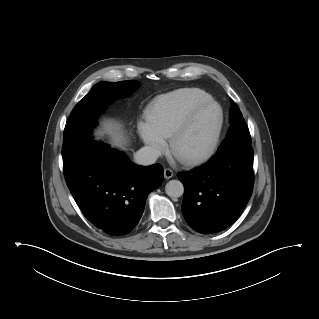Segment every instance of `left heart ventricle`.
I'll list each match as a JSON object with an SVG mask.
<instances>
[{
  "mask_svg": "<svg viewBox=\"0 0 319 319\" xmlns=\"http://www.w3.org/2000/svg\"><path fill=\"white\" fill-rule=\"evenodd\" d=\"M219 119L217 107L210 106L203 110L196 118L190 131L179 142L178 151L184 155L206 151L212 143Z\"/></svg>",
  "mask_w": 319,
  "mask_h": 319,
  "instance_id": "obj_1",
  "label": "left heart ventricle"
}]
</instances>
